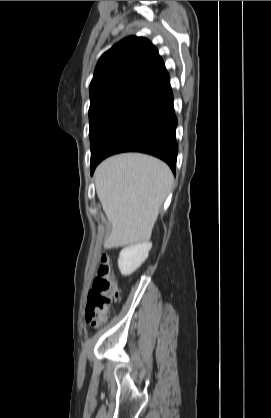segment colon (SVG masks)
<instances>
[{
	"instance_id": "obj_1",
	"label": "colon",
	"mask_w": 271,
	"mask_h": 418,
	"mask_svg": "<svg viewBox=\"0 0 271 418\" xmlns=\"http://www.w3.org/2000/svg\"><path fill=\"white\" fill-rule=\"evenodd\" d=\"M118 298V290L107 256L103 255L88 295L86 321L94 327L102 325Z\"/></svg>"
}]
</instances>
